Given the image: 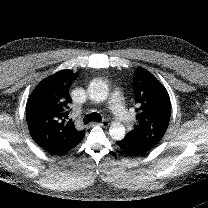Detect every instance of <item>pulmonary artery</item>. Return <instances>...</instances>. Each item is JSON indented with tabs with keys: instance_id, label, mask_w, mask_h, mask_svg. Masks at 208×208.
<instances>
[{
	"instance_id": "obj_1",
	"label": "pulmonary artery",
	"mask_w": 208,
	"mask_h": 208,
	"mask_svg": "<svg viewBox=\"0 0 208 208\" xmlns=\"http://www.w3.org/2000/svg\"><path fill=\"white\" fill-rule=\"evenodd\" d=\"M104 106L114 114L119 122L128 123L132 120V114L126 109L120 90L114 91Z\"/></svg>"
}]
</instances>
